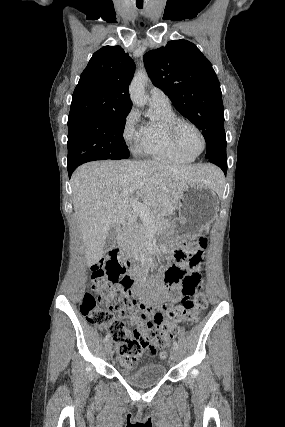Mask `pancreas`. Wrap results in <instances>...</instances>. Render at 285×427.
I'll use <instances>...</instances> for the list:
<instances>
[{"mask_svg":"<svg viewBox=\"0 0 285 427\" xmlns=\"http://www.w3.org/2000/svg\"><path fill=\"white\" fill-rule=\"evenodd\" d=\"M136 219L137 214L133 216ZM152 226L158 230L167 225L168 220L164 219L161 214L153 215ZM148 229L147 222L142 219V223H132L124 229L120 237L121 246H129L133 243H136L139 240V236Z\"/></svg>","mask_w":285,"mask_h":427,"instance_id":"pancreas-1","label":"pancreas"}]
</instances>
